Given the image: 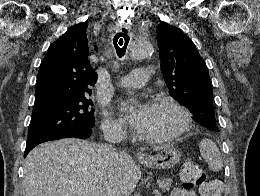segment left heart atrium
Listing matches in <instances>:
<instances>
[{
    "instance_id": "39dd6f15",
    "label": "left heart atrium",
    "mask_w": 260,
    "mask_h": 196,
    "mask_svg": "<svg viewBox=\"0 0 260 196\" xmlns=\"http://www.w3.org/2000/svg\"><path fill=\"white\" fill-rule=\"evenodd\" d=\"M150 111V105L141 104L131 109L127 103L122 105L125 119L138 131H144ZM91 192H119V190H91Z\"/></svg>"
}]
</instances>
